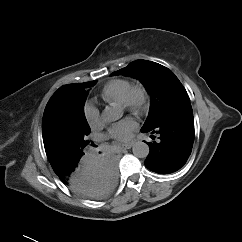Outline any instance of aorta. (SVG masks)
I'll return each mask as SVG.
<instances>
[{"label": "aorta", "mask_w": 242, "mask_h": 242, "mask_svg": "<svg viewBox=\"0 0 242 242\" xmlns=\"http://www.w3.org/2000/svg\"><path fill=\"white\" fill-rule=\"evenodd\" d=\"M122 111L115 106H106L102 111L101 119L105 123H111L119 120L122 117ZM149 146L142 141H137L133 144L132 152L137 158H146L149 154Z\"/></svg>", "instance_id": "aorta-1"}]
</instances>
